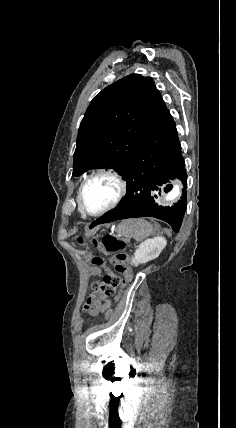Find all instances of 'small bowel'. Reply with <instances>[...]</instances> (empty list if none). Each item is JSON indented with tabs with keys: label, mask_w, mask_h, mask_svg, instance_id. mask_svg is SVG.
Instances as JSON below:
<instances>
[{
	"label": "small bowel",
	"mask_w": 236,
	"mask_h": 428,
	"mask_svg": "<svg viewBox=\"0 0 236 428\" xmlns=\"http://www.w3.org/2000/svg\"><path fill=\"white\" fill-rule=\"evenodd\" d=\"M99 302L101 303V302H104V305H107L108 304V302L106 301V299H105V297L104 296H100L99 297Z\"/></svg>",
	"instance_id": "obj_1"
}]
</instances>
